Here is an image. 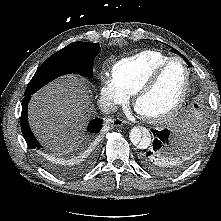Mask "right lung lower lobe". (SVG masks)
Instances as JSON below:
<instances>
[{"label":"right lung lower lobe","mask_w":221,"mask_h":221,"mask_svg":"<svg viewBox=\"0 0 221 221\" xmlns=\"http://www.w3.org/2000/svg\"><path fill=\"white\" fill-rule=\"evenodd\" d=\"M30 98H31V95H25L23 102H22L21 130L25 138V141L27 143V146L30 149L37 151L40 149L41 145L32 134V131L30 130L28 119H27V106H28V102ZM102 123H103V120L100 118H95L91 120L90 123L88 124L87 131L93 134L99 133L100 130L102 129ZM39 155L41 156V154Z\"/></svg>","instance_id":"right-lung-lower-lobe-1"}]
</instances>
